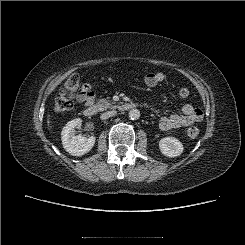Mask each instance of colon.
<instances>
[{
  "mask_svg": "<svg viewBox=\"0 0 245 245\" xmlns=\"http://www.w3.org/2000/svg\"><path fill=\"white\" fill-rule=\"evenodd\" d=\"M80 78L77 74L71 75L64 83L63 88L60 90L55 103L54 110L58 113H65L73 108V100L82 90ZM190 91L188 88H181L179 95L182 98L188 97ZM199 135V129L191 127L187 130V136L191 139L196 138Z\"/></svg>",
  "mask_w": 245,
  "mask_h": 245,
  "instance_id": "1",
  "label": "colon"
}]
</instances>
